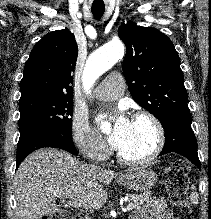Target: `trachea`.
I'll use <instances>...</instances> for the list:
<instances>
[{
    "label": "trachea",
    "mask_w": 211,
    "mask_h": 219,
    "mask_svg": "<svg viewBox=\"0 0 211 219\" xmlns=\"http://www.w3.org/2000/svg\"><path fill=\"white\" fill-rule=\"evenodd\" d=\"M92 14L96 19H100L104 12H105V6L104 5H97L92 6L91 8Z\"/></svg>",
    "instance_id": "obj_1"
}]
</instances>
